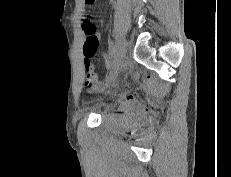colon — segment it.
<instances>
[{
    "instance_id": "colon-1",
    "label": "colon",
    "mask_w": 231,
    "mask_h": 177,
    "mask_svg": "<svg viewBox=\"0 0 231 177\" xmlns=\"http://www.w3.org/2000/svg\"><path fill=\"white\" fill-rule=\"evenodd\" d=\"M95 0H85L86 4H93ZM83 29L87 35L85 45H84V55L86 58L91 59L96 53L98 48V37L95 33V28L91 22H84Z\"/></svg>"
}]
</instances>
